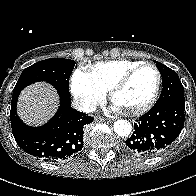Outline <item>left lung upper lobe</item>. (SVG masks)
<instances>
[{
    "mask_svg": "<svg viewBox=\"0 0 196 196\" xmlns=\"http://www.w3.org/2000/svg\"><path fill=\"white\" fill-rule=\"evenodd\" d=\"M162 76L163 89L155 105L175 101L185 103L184 87L175 71L158 61H154Z\"/></svg>",
    "mask_w": 196,
    "mask_h": 196,
    "instance_id": "left-lung-upper-lobe-1",
    "label": "left lung upper lobe"
}]
</instances>
